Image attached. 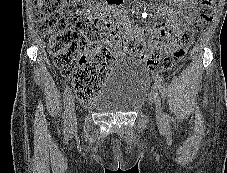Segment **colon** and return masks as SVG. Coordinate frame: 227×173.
I'll list each match as a JSON object with an SVG mask.
<instances>
[{
    "mask_svg": "<svg viewBox=\"0 0 227 173\" xmlns=\"http://www.w3.org/2000/svg\"><path fill=\"white\" fill-rule=\"evenodd\" d=\"M72 0H34L37 25L57 69L71 77L78 98L91 103L112 65L113 57L103 42L118 31L115 18H94L80 11H68ZM216 0H200L196 25L203 29L214 16ZM191 32L167 48L153 36L129 41L131 52L138 55L150 69L168 71L174 67L193 44ZM164 50L166 52H164Z\"/></svg>",
    "mask_w": 227,
    "mask_h": 173,
    "instance_id": "5ec220e1",
    "label": "colon"
}]
</instances>
